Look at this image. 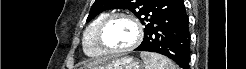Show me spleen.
Returning a JSON list of instances; mask_svg holds the SVG:
<instances>
[{
	"label": "spleen",
	"instance_id": "1",
	"mask_svg": "<svg viewBox=\"0 0 246 69\" xmlns=\"http://www.w3.org/2000/svg\"><path fill=\"white\" fill-rule=\"evenodd\" d=\"M146 69H178L167 57L153 52H142L140 54Z\"/></svg>",
	"mask_w": 246,
	"mask_h": 69
}]
</instances>
